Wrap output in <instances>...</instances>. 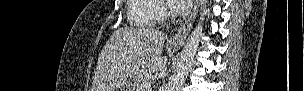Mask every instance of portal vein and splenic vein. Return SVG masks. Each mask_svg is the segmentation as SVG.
Masks as SVG:
<instances>
[{"label":"portal vein and splenic vein","instance_id":"1","mask_svg":"<svg viewBox=\"0 0 304 91\" xmlns=\"http://www.w3.org/2000/svg\"><path fill=\"white\" fill-rule=\"evenodd\" d=\"M150 87H151V82L143 83V84H142V88H141L142 90H141V91H149Z\"/></svg>","mask_w":304,"mask_h":91}]
</instances>
